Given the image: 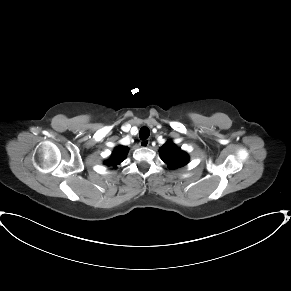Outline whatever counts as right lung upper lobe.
Listing matches in <instances>:
<instances>
[{"label": "right lung upper lobe", "instance_id": "obj_1", "mask_svg": "<svg viewBox=\"0 0 291 291\" xmlns=\"http://www.w3.org/2000/svg\"><path fill=\"white\" fill-rule=\"evenodd\" d=\"M129 148L126 146H118L114 149L110 159L106 160L104 163L108 166H113L116 168L126 157Z\"/></svg>", "mask_w": 291, "mask_h": 291}]
</instances>
